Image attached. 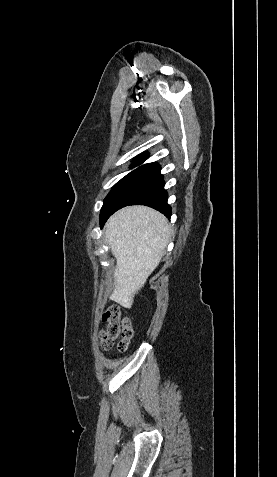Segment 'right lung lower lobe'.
Wrapping results in <instances>:
<instances>
[{
	"instance_id": "obj_1",
	"label": "right lung lower lobe",
	"mask_w": 277,
	"mask_h": 477,
	"mask_svg": "<svg viewBox=\"0 0 277 477\" xmlns=\"http://www.w3.org/2000/svg\"><path fill=\"white\" fill-rule=\"evenodd\" d=\"M167 199L168 194L164 189L163 176L159 174L153 183L128 205H146L160 211L166 217L170 218L171 207L168 205Z\"/></svg>"
}]
</instances>
